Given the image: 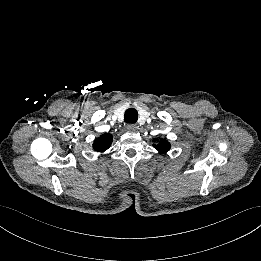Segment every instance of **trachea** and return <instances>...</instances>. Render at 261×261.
Returning a JSON list of instances; mask_svg holds the SVG:
<instances>
[{
	"mask_svg": "<svg viewBox=\"0 0 261 261\" xmlns=\"http://www.w3.org/2000/svg\"><path fill=\"white\" fill-rule=\"evenodd\" d=\"M138 120V112L135 108H129L125 111L124 121L127 123H136Z\"/></svg>",
	"mask_w": 261,
	"mask_h": 261,
	"instance_id": "1",
	"label": "trachea"
}]
</instances>
